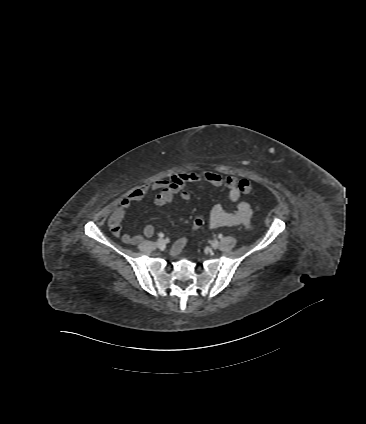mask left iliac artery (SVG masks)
Instances as JSON below:
<instances>
[{
	"instance_id": "obj_1",
	"label": "left iliac artery",
	"mask_w": 366,
	"mask_h": 424,
	"mask_svg": "<svg viewBox=\"0 0 366 424\" xmlns=\"http://www.w3.org/2000/svg\"><path fill=\"white\" fill-rule=\"evenodd\" d=\"M218 238H219V239H222V238H223V235H222V234H219V235H218Z\"/></svg>"
}]
</instances>
